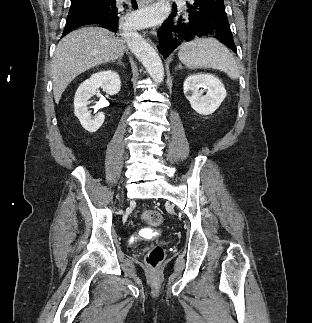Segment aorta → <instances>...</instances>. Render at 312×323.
Listing matches in <instances>:
<instances>
[{
  "instance_id": "aorta-1",
  "label": "aorta",
  "mask_w": 312,
  "mask_h": 323,
  "mask_svg": "<svg viewBox=\"0 0 312 323\" xmlns=\"http://www.w3.org/2000/svg\"><path fill=\"white\" fill-rule=\"evenodd\" d=\"M126 44L137 60L143 64L146 72L154 82H163L164 68L157 52L154 48L140 36L136 30H124Z\"/></svg>"
}]
</instances>
